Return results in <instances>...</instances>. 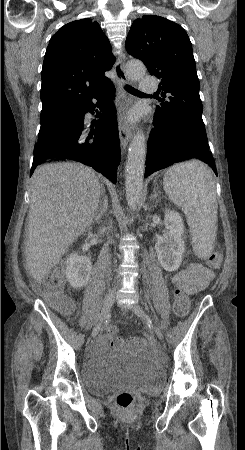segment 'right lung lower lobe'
<instances>
[{
    "label": "right lung lower lobe",
    "mask_w": 245,
    "mask_h": 450,
    "mask_svg": "<svg viewBox=\"0 0 245 450\" xmlns=\"http://www.w3.org/2000/svg\"><path fill=\"white\" fill-rule=\"evenodd\" d=\"M114 89L109 82L91 97L58 115L46 132L38 137L34 150L30 176L41 162L52 159H70L83 162L116 183L117 166L120 163V144L115 108L111 103ZM107 100L101 107L99 120L88 123L87 112L94 113L96 105Z\"/></svg>",
    "instance_id": "1"
}]
</instances>
